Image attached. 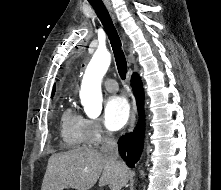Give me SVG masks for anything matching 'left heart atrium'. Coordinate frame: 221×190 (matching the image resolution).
<instances>
[{"instance_id": "obj_1", "label": "left heart atrium", "mask_w": 221, "mask_h": 190, "mask_svg": "<svg viewBox=\"0 0 221 190\" xmlns=\"http://www.w3.org/2000/svg\"><path fill=\"white\" fill-rule=\"evenodd\" d=\"M130 107L122 96H112L107 99L104 108V122L108 129L118 130L128 121Z\"/></svg>"}]
</instances>
